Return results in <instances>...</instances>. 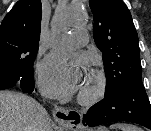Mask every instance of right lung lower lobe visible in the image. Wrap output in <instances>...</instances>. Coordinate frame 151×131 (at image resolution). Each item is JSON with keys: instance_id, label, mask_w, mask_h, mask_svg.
Here are the masks:
<instances>
[{"instance_id": "98d812e1", "label": "right lung lower lobe", "mask_w": 151, "mask_h": 131, "mask_svg": "<svg viewBox=\"0 0 151 131\" xmlns=\"http://www.w3.org/2000/svg\"><path fill=\"white\" fill-rule=\"evenodd\" d=\"M14 87L21 88L25 93H32L35 89L34 76L27 79H21L18 84L14 82L10 84L7 78L0 77V90Z\"/></svg>"}]
</instances>
